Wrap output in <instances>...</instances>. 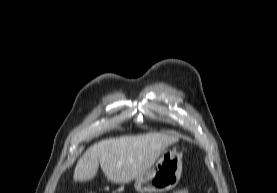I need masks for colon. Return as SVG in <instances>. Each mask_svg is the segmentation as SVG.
I'll use <instances>...</instances> for the list:
<instances>
[{
  "instance_id": "1",
  "label": "colon",
  "mask_w": 277,
  "mask_h": 193,
  "mask_svg": "<svg viewBox=\"0 0 277 193\" xmlns=\"http://www.w3.org/2000/svg\"><path fill=\"white\" fill-rule=\"evenodd\" d=\"M174 193H189V190H188V188L184 187V188H181V189L175 191Z\"/></svg>"
}]
</instances>
